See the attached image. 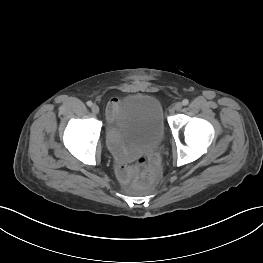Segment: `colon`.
<instances>
[{
  "label": "colon",
  "instance_id": "obj_1",
  "mask_svg": "<svg viewBox=\"0 0 263 263\" xmlns=\"http://www.w3.org/2000/svg\"><path fill=\"white\" fill-rule=\"evenodd\" d=\"M138 169V184L146 187L151 186L154 183L158 172L156 160H152L150 164H145L144 160L141 159L139 161Z\"/></svg>",
  "mask_w": 263,
  "mask_h": 263
}]
</instances>
